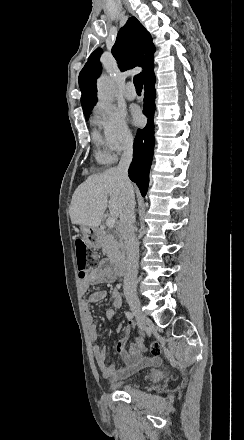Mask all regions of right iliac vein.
<instances>
[{"label":"right iliac vein","instance_id":"right-iliac-vein-1","mask_svg":"<svg viewBox=\"0 0 244 440\" xmlns=\"http://www.w3.org/2000/svg\"><path fill=\"white\" fill-rule=\"evenodd\" d=\"M126 300H127V303L129 304L132 312L135 315H137L138 321L140 323L141 331H144L145 324H147L149 322V320H148V318L145 317L144 312L142 311L141 302H140L139 298L137 297V295H128Z\"/></svg>","mask_w":244,"mask_h":440}]
</instances>
